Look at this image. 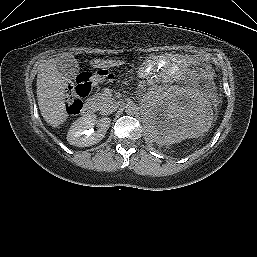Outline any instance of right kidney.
<instances>
[{"label": "right kidney", "mask_w": 257, "mask_h": 257, "mask_svg": "<svg viewBox=\"0 0 257 257\" xmlns=\"http://www.w3.org/2000/svg\"><path fill=\"white\" fill-rule=\"evenodd\" d=\"M111 120L107 117L96 120L94 115H88L77 119L70 127L67 141L77 147H89L100 142L109 129ZM99 128L94 131L93 127Z\"/></svg>", "instance_id": "1"}]
</instances>
